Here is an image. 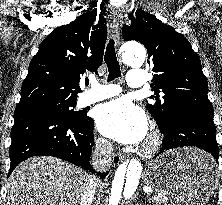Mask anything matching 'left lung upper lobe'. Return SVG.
<instances>
[{
    "instance_id": "obj_1",
    "label": "left lung upper lobe",
    "mask_w": 222,
    "mask_h": 205,
    "mask_svg": "<svg viewBox=\"0 0 222 205\" xmlns=\"http://www.w3.org/2000/svg\"><path fill=\"white\" fill-rule=\"evenodd\" d=\"M129 19L131 25L123 26V38L139 41L147 48L150 59L147 61L154 72L151 86L155 91L147 110L159 129H166L174 116L186 109L214 112L201 62L188 40L143 10H138L134 19L133 13L129 14ZM160 92L164 95L160 96Z\"/></svg>"
}]
</instances>
